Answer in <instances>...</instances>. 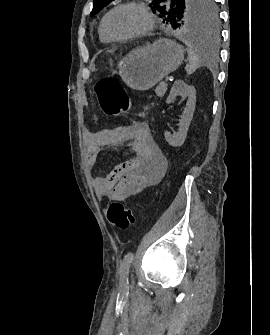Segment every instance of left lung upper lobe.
Returning a JSON list of instances; mask_svg holds the SVG:
<instances>
[{
  "mask_svg": "<svg viewBox=\"0 0 270 335\" xmlns=\"http://www.w3.org/2000/svg\"><path fill=\"white\" fill-rule=\"evenodd\" d=\"M113 0H94L90 16L97 14ZM149 7L170 23L174 29L183 31H215L218 11L215 0H153Z\"/></svg>",
  "mask_w": 270,
  "mask_h": 335,
  "instance_id": "obj_1",
  "label": "left lung upper lobe"
}]
</instances>
